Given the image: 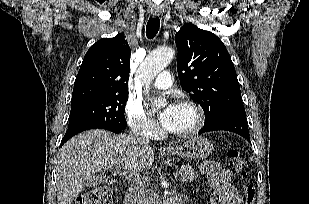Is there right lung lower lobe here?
Listing matches in <instances>:
<instances>
[{"mask_svg":"<svg viewBox=\"0 0 309 204\" xmlns=\"http://www.w3.org/2000/svg\"><path fill=\"white\" fill-rule=\"evenodd\" d=\"M106 129L109 131H112L114 133H121L124 129H119V128H115L106 124H101V123H97V122H87V123H82L73 127H70L67 129V132L61 142V146L67 141L69 140L72 136L85 131V130H89V129Z\"/></svg>","mask_w":309,"mask_h":204,"instance_id":"obj_1","label":"right lung lower lobe"}]
</instances>
